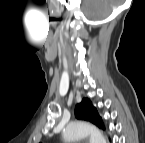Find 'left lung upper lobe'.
<instances>
[{
    "mask_svg": "<svg viewBox=\"0 0 145 143\" xmlns=\"http://www.w3.org/2000/svg\"><path fill=\"white\" fill-rule=\"evenodd\" d=\"M75 116L78 119L90 121L98 127L104 129L101 117L99 116L96 108L92 106L89 99L84 98L82 102L76 106Z\"/></svg>",
    "mask_w": 145,
    "mask_h": 143,
    "instance_id": "1",
    "label": "left lung upper lobe"
}]
</instances>
